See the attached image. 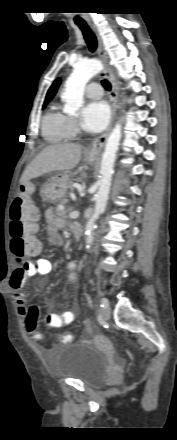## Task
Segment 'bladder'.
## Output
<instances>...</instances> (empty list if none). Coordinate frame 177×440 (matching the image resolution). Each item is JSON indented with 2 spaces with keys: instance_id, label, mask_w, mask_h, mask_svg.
<instances>
[{
  "instance_id": "obj_1",
  "label": "bladder",
  "mask_w": 177,
  "mask_h": 440,
  "mask_svg": "<svg viewBox=\"0 0 177 440\" xmlns=\"http://www.w3.org/2000/svg\"><path fill=\"white\" fill-rule=\"evenodd\" d=\"M108 357L103 351L79 344H67L59 349L53 367L59 378H72L87 386L104 382Z\"/></svg>"
}]
</instances>
